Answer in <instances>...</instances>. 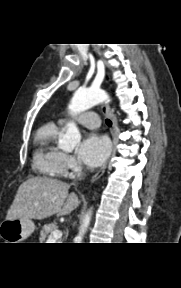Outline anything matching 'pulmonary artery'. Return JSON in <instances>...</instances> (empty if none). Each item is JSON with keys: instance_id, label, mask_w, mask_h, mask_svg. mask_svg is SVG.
<instances>
[{"instance_id": "obj_1", "label": "pulmonary artery", "mask_w": 181, "mask_h": 288, "mask_svg": "<svg viewBox=\"0 0 181 288\" xmlns=\"http://www.w3.org/2000/svg\"><path fill=\"white\" fill-rule=\"evenodd\" d=\"M78 122L82 127L89 129H97L99 127L98 115L94 112L85 113L78 119Z\"/></svg>"}]
</instances>
